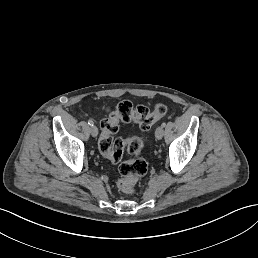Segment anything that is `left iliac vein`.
Listing matches in <instances>:
<instances>
[{"instance_id":"obj_1","label":"left iliac vein","mask_w":258,"mask_h":258,"mask_svg":"<svg viewBox=\"0 0 258 258\" xmlns=\"http://www.w3.org/2000/svg\"><path fill=\"white\" fill-rule=\"evenodd\" d=\"M155 137L158 140H161L164 137V130H163V126H158V128L155 130Z\"/></svg>"}]
</instances>
